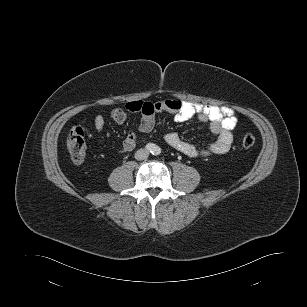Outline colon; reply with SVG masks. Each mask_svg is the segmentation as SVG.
I'll list each match as a JSON object with an SVG mask.
<instances>
[{
  "label": "colon",
  "mask_w": 307,
  "mask_h": 307,
  "mask_svg": "<svg viewBox=\"0 0 307 307\" xmlns=\"http://www.w3.org/2000/svg\"><path fill=\"white\" fill-rule=\"evenodd\" d=\"M241 144L244 148H251L255 144V137L251 134H246L243 136ZM67 146L72 160L75 163H81L86 153L85 132L81 126L71 129L67 139Z\"/></svg>",
  "instance_id": "1"
}]
</instances>
